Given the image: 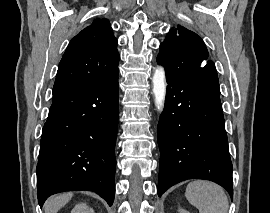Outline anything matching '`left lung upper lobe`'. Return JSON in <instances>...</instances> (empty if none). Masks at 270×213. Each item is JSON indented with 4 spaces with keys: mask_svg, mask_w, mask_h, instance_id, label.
Masks as SVG:
<instances>
[{
    "mask_svg": "<svg viewBox=\"0 0 270 213\" xmlns=\"http://www.w3.org/2000/svg\"><path fill=\"white\" fill-rule=\"evenodd\" d=\"M203 40L194 32L178 25L160 44L157 62L165 68L166 77H200L219 86L214 63L208 60Z\"/></svg>",
    "mask_w": 270,
    "mask_h": 213,
    "instance_id": "5c2ea615",
    "label": "left lung upper lobe"
}]
</instances>
